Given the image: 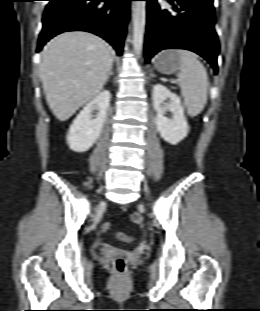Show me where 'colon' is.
Segmentation results:
<instances>
[{
    "label": "colon",
    "mask_w": 260,
    "mask_h": 311,
    "mask_svg": "<svg viewBox=\"0 0 260 311\" xmlns=\"http://www.w3.org/2000/svg\"><path fill=\"white\" fill-rule=\"evenodd\" d=\"M111 228V223L110 222H105L103 223L102 225V231L103 232H108ZM118 239L121 240V241H125V242H129L131 241V239L123 234V233H120L118 234ZM113 267L114 269L118 272V273H122L125 271V268H126V261L121 258V257H117L114 261H113Z\"/></svg>",
    "instance_id": "obj_1"
}]
</instances>
